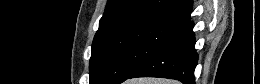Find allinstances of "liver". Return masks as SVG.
Returning <instances> with one entry per match:
<instances>
[{"label":"liver","mask_w":260,"mask_h":84,"mask_svg":"<svg viewBox=\"0 0 260 84\" xmlns=\"http://www.w3.org/2000/svg\"><path fill=\"white\" fill-rule=\"evenodd\" d=\"M131 84H171V81L164 79H134Z\"/></svg>","instance_id":"1"}]
</instances>
